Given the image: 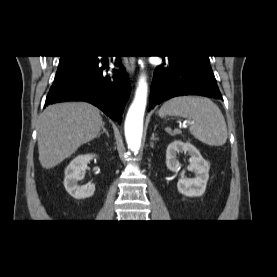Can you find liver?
<instances>
[{
	"label": "liver",
	"instance_id": "1",
	"mask_svg": "<svg viewBox=\"0 0 277 277\" xmlns=\"http://www.w3.org/2000/svg\"><path fill=\"white\" fill-rule=\"evenodd\" d=\"M103 127L99 110L83 102L48 106L38 125L39 161L50 169L93 140Z\"/></svg>",
	"mask_w": 277,
	"mask_h": 277
}]
</instances>
